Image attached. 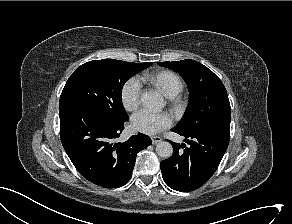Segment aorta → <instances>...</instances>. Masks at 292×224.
<instances>
[{"mask_svg": "<svg viewBox=\"0 0 292 224\" xmlns=\"http://www.w3.org/2000/svg\"><path fill=\"white\" fill-rule=\"evenodd\" d=\"M142 104L150 109H161L164 107V100L160 93L148 91L141 96ZM156 153L161 158H169L173 154V147L167 141H161L156 145Z\"/></svg>", "mask_w": 292, "mask_h": 224, "instance_id": "1", "label": "aorta"}]
</instances>
